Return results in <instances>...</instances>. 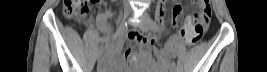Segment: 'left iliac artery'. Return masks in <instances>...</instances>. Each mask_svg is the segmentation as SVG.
Listing matches in <instances>:
<instances>
[{
  "label": "left iliac artery",
  "instance_id": "left-iliac-artery-1",
  "mask_svg": "<svg viewBox=\"0 0 267 72\" xmlns=\"http://www.w3.org/2000/svg\"><path fill=\"white\" fill-rule=\"evenodd\" d=\"M150 28H151L152 31H159L158 24L155 21H153V20L151 21ZM170 67L171 68H175V63L174 62H171L170 63Z\"/></svg>",
  "mask_w": 267,
  "mask_h": 72
}]
</instances>
